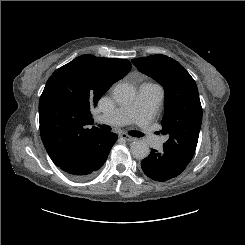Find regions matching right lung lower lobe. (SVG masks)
Wrapping results in <instances>:
<instances>
[{
  "label": "right lung lower lobe",
  "instance_id": "1",
  "mask_svg": "<svg viewBox=\"0 0 245 245\" xmlns=\"http://www.w3.org/2000/svg\"><path fill=\"white\" fill-rule=\"evenodd\" d=\"M116 139L113 133L100 131L81 143L57 166L75 179L89 178L105 163Z\"/></svg>",
  "mask_w": 245,
  "mask_h": 245
}]
</instances>
